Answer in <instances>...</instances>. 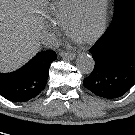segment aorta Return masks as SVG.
Listing matches in <instances>:
<instances>
[{
	"mask_svg": "<svg viewBox=\"0 0 135 135\" xmlns=\"http://www.w3.org/2000/svg\"><path fill=\"white\" fill-rule=\"evenodd\" d=\"M77 67L85 74H90L95 66L93 57L87 53H81L76 60Z\"/></svg>",
	"mask_w": 135,
	"mask_h": 135,
	"instance_id": "1",
	"label": "aorta"
}]
</instances>
